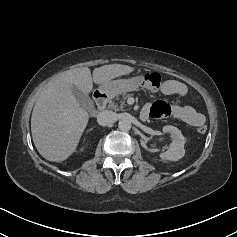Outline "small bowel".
Masks as SVG:
<instances>
[{"mask_svg": "<svg viewBox=\"0 0 237 237\" xmlns=\"http://www.w3.org/2000/svg\"><path fill=\"white\" fill-rule=\"evenodd\" d=\"M161 92L165 95L184 96L187 93V86L181 81L169 79L163 83ZM166 116H171L196 128L205 124V117L194 107L190 105L169 104L162 100L146 104L141 113L143 119L149 117L163 118Z\"/></svg>", "mask_w": 237, "mask_h": 237, "instance_id": "c3829d8e", "label": "small bowel"}]
</instances>
